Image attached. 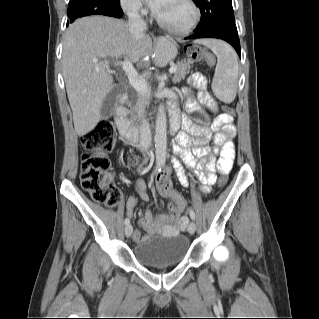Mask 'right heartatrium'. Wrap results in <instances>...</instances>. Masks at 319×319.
<instances>
[{
	"mask_svg": "<svg viewBox=\"0 0 319 319\" xmlns=\"http://www.w3.org/2000/svg\"><path fill=\"white\" fill-rule=\"evenodd\" d=\"M125 11L134 15H144L146 10L139 0H120Z\"/></svg>",
	"mask_w": 319,
	"mask_h": 319,
	"instance_id": "d8ad5b80",
	"label": "right heart atrium"
}]
</instances>
